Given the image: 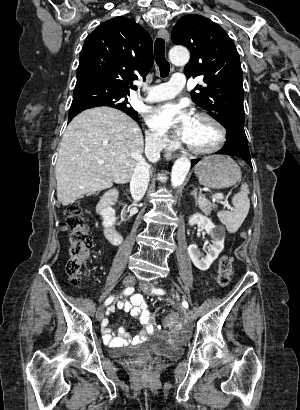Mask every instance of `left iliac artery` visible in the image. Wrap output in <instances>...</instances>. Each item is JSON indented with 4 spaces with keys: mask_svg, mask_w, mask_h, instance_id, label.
Listing matches in <instances>:
<instances>
[{
    "mask_svg": "<svg viewBox=\"0 0 300 410\" xmlns=\"http://www.w3.org/2000/svg\"><path fill=\"white\" fill-rule=\"evenodd\" d=\"M152 292H154V293L157 294V295H163V294H165V291H164L163 289H161V288H153ZM182 305H183L184 308H188V307H189L187 301H185V300L182 302Z\"/></svg>",
    "mask_w": 300,
    "mask_h": 410,
    "instance_id": "44dca946",
    "label": "left iliac artery"
}]
</instances>
